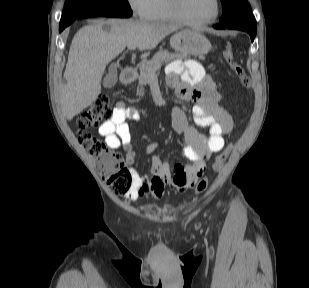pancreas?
<instances>
[{"instance_id":"pancreas-1","label":"pancreas","mask_w":309,"mask_h":288,"mask_svg":"<svg viewBox=\"0 0 309 288\" xmlns=\"http://www.w3.org/2000/svg\"><path fill=\"white\" fill-rule=\"evenodd\" d=\"M184 55L177 53H169L166 50L158 51L151 60L146 61L145 63L139 66L140 75L138 77L140 90H137V95L142 96L144 94L143 85L149 83L150 77L152 75V71H156L158 66H161L162 63H169L174 60H182L186 59Z\"/></svg>"}]
</instances>
